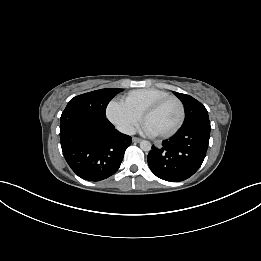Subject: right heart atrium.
I'll return each mask as SVG.
<instances>
[{"mask_svg":"<svg viewBox=\"0 0 261 261\" xmlns=\"http://www.w3.org/2000/svg\"><path fill=\"white\" fill-rule=\"evenodd\" d=\"M106 115L109 121L125 134H131L140 121V115L129 108L122 100L110 101Z\"/></svg>","mask_w":261,"mask_h":261,"instance_id":"right-heart-atrium-1","label":"right heart atrium"}]
</instances>
